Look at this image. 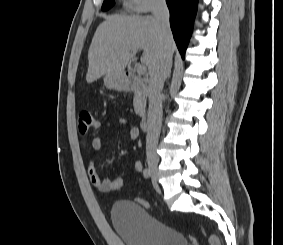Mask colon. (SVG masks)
Segmentation results:
<instances>
[{
  "label": "colon",
  "instance_id": "1",
  "mask_svg": "<svg viewBox=\"0 0 283 245\" xmlns=\"http://www.w3.org/2000/svg\"><path fill=\"white\" fill-rule=\"evenodd\" d=\"M99 126V122L93 117L90 111H82L78 116V130L79 134L82 137H86L87 134L92 130ZM123 185V181L121 178H114L111 181V190L116 191L119 190ZM139 204L148 208L149 203L143 199L138 200ZM208 242L210 245H221L217 236L211 235L209 236Z\"/></svg>",
  "mask_w": 283,
  "mask_h": 245
}]
</instances>
